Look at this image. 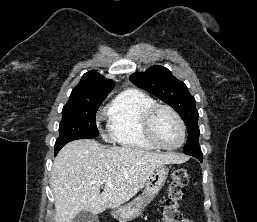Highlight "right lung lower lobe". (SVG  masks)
<instances>
[{"label":"right lung lower lobe","mask_w":257,"mask_h":222,"mask_svg":"<svg viewBox=\"0 0 257 222\" xmlns=\"http://www.w3.org/2000/svg\"><path fill=\"white\" fill-rule=\"evenodd\" d=\"M59 152V150H55V155Z\"/></svg>","instance_id":"obj_1"}]
</instances>
